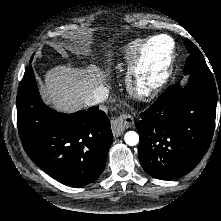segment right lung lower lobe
I'll list each match as a JSON object with an SVG mask.
<instances>
[{
    "label": "right lung lower lobe",
    "mask_w": 221,
    "mask_h": 221,
    "mask_svg": "<svg viewBox=\"0 0 221 221\" xmlns=\"http://www.w3.org/2000/svg\"><path fill=\"white\" fill-rule=\"evenodd\" d=\"M17 125L28 156L57 181L84 186L102 173L113 139L107 115L97 106L74 114L48 108L31 66L18 89Z\"/></svg>",
    "instance_id": "1"
}]
</instances>
